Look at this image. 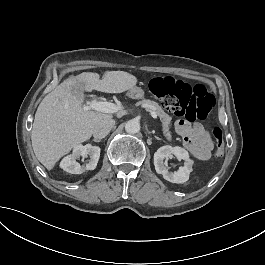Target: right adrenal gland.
Here are the masks:
<instances>
[{
  "instance_id": "2a0ac1e0",
  "label": "right adrenal gland",
  "mask_w": 265,
  "mask_h": 265,
  "mask_svg": "<svg viewBox=\"0 0 265 265\" xmlns=\"http://www.w3.org/2000/svg\"><path fill=\"white\" fill-rule=\"evenodd\" d=\"M92 141H93V142H96V143H98V142H102L101 139H93Z\"/></svg>"
}]
</instances>
